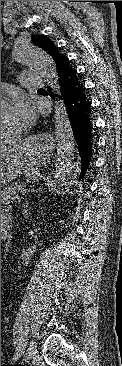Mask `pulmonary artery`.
Listing matches in <instances>:
<instances>
[{
    "mask_svg": "<svg viewBox=\"0 0 122 366\" xmlns=\"http://www.w3.org/2000/svg\"><path fill=\"white\" fill-rule=\"evenodd\" d=\"M19 79L26 87L31 89H38L45 86V81L41 78V75L32 70L21 71L19 74Z\"/></svg>",
    "mask_w": 122,
    "mask_h": 366,
    "instance_id": "1",
    "label": "pulmonary artery"
}]
</instances>
